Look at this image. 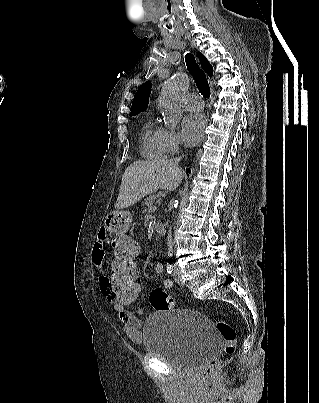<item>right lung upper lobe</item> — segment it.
Here are the masks:
<instances>
[{
  "instance_id": "1",
  "label": "right lung upper lobe",
  "mask_w": 319,
  "mask_h": 403,
  "mask_svg": "<svg viewBox=\"0 0 319 403\" xmlns=\"http://www.w3.org/2000/svg\"><path fill=\"white\" fill-rule=\"evenodd\" d=\"M197 56L200 60L201 67L207 72L209 76H212V66L210 65L206 57L201 53H198ZM150 93H151V82L146 81L140 86V88L138 89L137 93L134 96L130 116L136 115L147 108Z\"/></svg>"
}]
</instances>
